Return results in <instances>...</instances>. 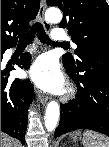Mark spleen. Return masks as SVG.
I'll use <instances>...</instances> for the list:
<instances>
[{"label":"spleen","mask_w":109,"mask_h":147,"mask_svg":"<svg viewBox=\"0 0 109 147\" xmlns=\"http://www.w3.org/2000/svg\"><path fill=\"white\" fill-rule=\"evenodd\" d=\"M84 147H109V138L97 132L86 130L83 133Z\"/></svg>","instance_id":"3e777b00"}]
</instances>
